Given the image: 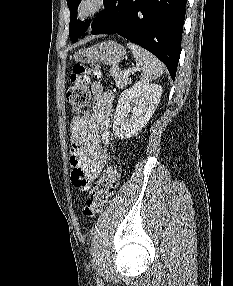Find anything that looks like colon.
<instances>
[{"label":"colon","mask_w":233,"mask_h":286,"mask_svg":"<svg viewBox=\"0 0 233 286\" xmlns=\"http://www.w3.org/2000/svg\"><path fill=\"white\" fill-rule=\"evenodd\" d=\"M90 75H101L99 66L91 67L76 63L72 67L70 75L71 86L67 91L66 99L75 113L81 112L88 104L90 98L89 81ZM119 170L115 165H109L101 178L94 185L90 197L86 200L82 214L86 218H92L100 214L109 203L118 185Z\"/></svg>","instance_id":"5ec220e1"}]
</instances>
